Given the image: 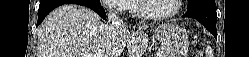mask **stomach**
Returning a JSON list of instances; mask_svg holds the SVG:
<instances>
[{
  "mask_svg": "<svg viewBox=\"0 0 249 57\" xmlns=\"http://www.w3.org/2000/svg\"><path fill=\"white\" fill-rule=\"evenodd\" d=\"M154 36L161 46L156 57H186L189 40L185 29L176 24H162Z\"/></svg>",
  "mask_w": 249,
  "mask_h": 57,
  "instance_id": "stomach-1",
  "label": "stomach"
}]
</instances>
